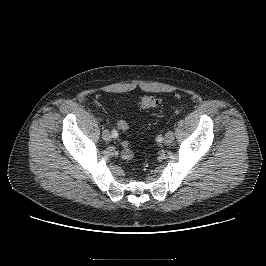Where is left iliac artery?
I'll use <instances>...</instances> for the list:
<instances>
[{
  "mask_svg": "<svg viewBox=\"0 0 266 266\" xmlns=\"http://www.w3.org/2000/svg\"><path fill=\"white\" fill-rule=\"evenodd\" d=\"M157 141H158V143H160V144H161V143H163V141H164V140H163L162 136H158V139H157Z\"/></svg>",
  "mask_w": 266,
  "mask_h": 266,
  "instance_id": "left-iliac-artery-1",
  "label": "left iliac artery"
}]
</instances>
